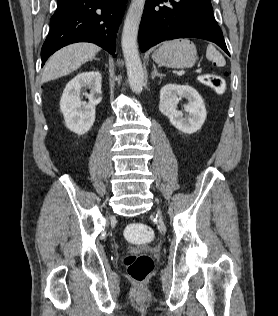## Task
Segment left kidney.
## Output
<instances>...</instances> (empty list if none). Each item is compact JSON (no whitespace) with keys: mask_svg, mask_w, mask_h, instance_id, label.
Masks as SVG:
<instances>
[{"mask_svg":"<svg viewBox=\"0 0 278 316\" xmlns=\"http://www.w3.org/2000/svg\"><path fill=\"white\" fill-rule=\"evenodd\" d=\"M182 97L188 100L184 106L185 111L189 114L187 117H183L182 111L176 110ZM159 110L169 118L175 128L186 134L198 131L207 116L201 95L189 85H165L160 91Z\"/></svg>","mask_w":278,"mask_h":316,"instance_id":"obj_1","label":"left kidney"}]
</instances>
